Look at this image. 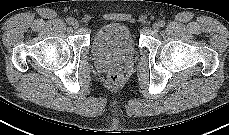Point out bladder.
Returning a JSON list of instances; mask_svg holds the SVG:
<instances>
[{
  "mask_svg": "<svg viewBox=\"0 0 229 135\" xmlns=\"http://www.w3.org/2000/svg\"><path fill=\"white\" fill-rule=\"evenodd\" d=\"M92 49L98 57H130L136 52V42L127 25L108 23L95 32Z\"/></svg>",
  "mask_w": 229,
  "mask_h": 135,
  "instance_id": "1",
  "label": "bladder"
}]
</instances>
